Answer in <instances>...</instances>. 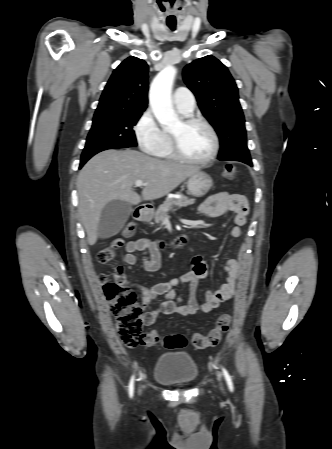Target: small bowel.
I'll use <instances>...</instances> for the list:
<instances>
[{"label": "small bowel", "mask_w": 332, "mask_h": 449, "mask_svg": "<svg viewBox=\"0 0 332 449\" xmlns=\"http://www.w3.org/2000/svg\"><path fill=\"white\" fill-rule=\"evenodd\" d=\"M199 211L210 217H220L227 212H233L234 225L230 229V235L232 238L239 240L242 236V226L245 224L249 213V204L241 194L221 192L212 195L203 202ZM125 251L124 261L127 265L135 264V252L139 251L144 254L143 268L145 271L154 272L161 267V252L154 241L146 238L129 241L125 246ZM240 266L238 259H230L226 264L227 282L216 292L206 291L205 299L202 302H199L197 298V288L199 281L208 275V265L200 256L193 258L190 271L181 277L157 283L149 289H139L144 309L159 297H163L159 307L144 313L143 323L152 325L160 315L189 316L214 310L221 303L234 296ZM115 278L125 281V273L122 267L116 269ZM181 284L189 285L190 297L187 304L182 303V298L175 291V288Z\"/></svg>", "instance_id": "small-bowel-1"}]
</instances>
